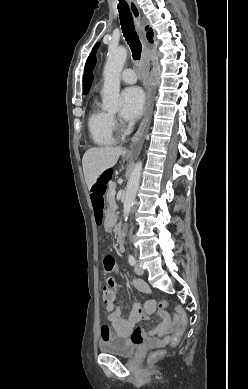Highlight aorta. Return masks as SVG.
I'll return each instance as SVG.
<instances>
[{
	"instance_id": "762f6f07",
	"label": "aorta",
	"mask_w": 248,
	"mask_h": 389,
	"mask_svg": "<svg viewBox=\"0 0 248 389\" xmlns=\"http://www.w3.org/2000/svg\"><path fill=\"white\" fill-rule=\"evenodd\" d=\"M127 58L125 47L110 48L108 58L103 71L104 84L101 91L103 95V109L118 111L121 107L119 98L120 74ZM142 162L138 161L132 170L128 180L123 204L124 219L127 221L131 207L135 200L141 180Z\"/></svg>"
}]
</instances>
